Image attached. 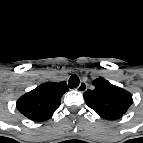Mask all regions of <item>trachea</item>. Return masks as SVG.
<instances>
[{
  "label": "trachea",
  "mask_w": 143,
  "mask_h": 143,
  "mask_svg": "<svg viewBox=\"0 0 143 143\" xmlns=\"http://www.w3.org/2000/svg\"><path fill=\"white\" fill-rule=\"evenodd\" d=\"M80 80L79 77L75 74L71 75L69 80H68V85L70 88H76L79 86Z\"/></svg>",
  "instance_id": "obj_1"
}]
</instances>
